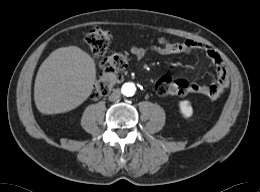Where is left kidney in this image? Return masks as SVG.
<instances>
[{
    "label": "left kidney",
    "mask_w": 260,
    "mask_h": 192,
    "mask_svg": "<svg viewBox=\"0 0 260 192\" xmlns=\"http://www.w3.org/2000/svg\"><path fill=\"white\" fill-rule=\"evenodd\" d=\"M180 111L185 118H189L193 114V108L189 101L183 100L179 102Z\"/></svg>",
    "instance_id": "left-kidney-1"
}]
</instances>
